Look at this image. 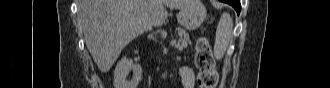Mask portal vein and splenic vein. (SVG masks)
Wrapping results in <instances>:
<instances>
[{"label":"portal vein and splenic vein","instance_id":"18ae733b","mask_svg":"<svg viewBox=\"0 0 330 88\" xmlns=\"http://www.w3.org/2000/svg\"><path fill=\"white\" fill-rule=\"evenodd\" d=\"M170 45H171V46H176V40H172V41L170 42Z\"/></svg>","mask_w":330,"mask_h":88}]
</instances>
